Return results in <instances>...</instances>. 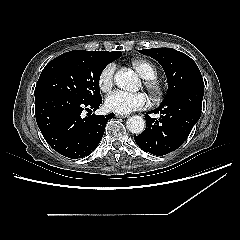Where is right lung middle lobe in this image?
I'll list each match as a JSON object with an SVG mask.
<instances>
[{
    "mask_svg": "<svg viewBox=\"0 0 240 240\" xmlns=\"http://www.w3.org/2000/svg\"><path fill=\"white\" fill-rule=\"evenodd\" d=\"M121 52L74 50L50 61L43 69L34 91L35 98L61 94L83 102L101 98L100 75Z\"/></svg>",
    "mask_w": 240,
    "mask_h": 240,
    "instance_id": "dd1d6c3e",
    "label": "right lung middle lobe"
}]
</instances>
